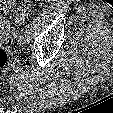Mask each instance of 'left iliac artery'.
I'll list each match as a JSON object with an SVG mask.
<instances>
[{"instance_id": "left-iliac-artery-1", "label": "left iliac artery", "mask_w": 113, "mask_h": 113, "mask_svg": "<svg viewBox=\"0 0 113 113\" xmlns=\"http://www.w3.org/2000/svg\"><path fill=\"white\" fill-rule=\"evenodd\" d=\"M26 35H27V37H28V39L30 38V34H31V32H30V30L28 29V25H26Z\"/></svg>"}]
</instances>
